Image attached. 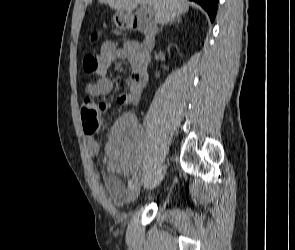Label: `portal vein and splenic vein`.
Returning a JSON list of instances; mask_svg holds the SVG:
<instances>
[{"instance_id":"obj_1","label":"portal vein and splenic vein","mask_w":295,"mask_h":250,"mask_svg":"<svg viewBox=\"0 0 295 250\" xmlns=\"http://www.w3.org/2000/svg\"><path fill=\"white\" fill-rule=\"evenodd\" d=\"M144 6V9L146 11V13H148L149 15H152L153 14V10L151 7L147 6V5H143Z\"/></svg>"}]
</instances>
